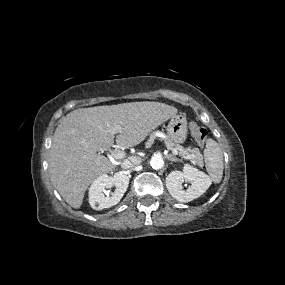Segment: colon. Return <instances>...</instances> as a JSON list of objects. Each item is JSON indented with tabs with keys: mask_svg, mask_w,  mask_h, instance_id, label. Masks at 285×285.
Returning a JSON list of instances; mask_svg holds the SVG:
<instances>
[{
	"mask_svg": "<svg viewBox=\"0 0 285 285\" xmlns=\"http://www.w3.org/2000/svg\"><path fill=\"white\" fill-rule=\"evenodd\" d=\"M189 131L198 144L204 145L207 140V130L196 122H191L189 125Z\"/></svg>",
	"mask_w": 285,
	"mask_h": 285,
	"instance_id": "obj_1",
	"label": "colon"
}]
</instances>
